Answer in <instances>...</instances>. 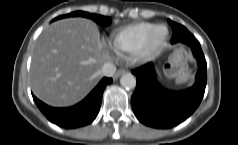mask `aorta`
Wrapping results in <instances>:
<instances>
[{
  "label": "aorta",
  "instance_id": "obj_1",
  "mask_svg": "<svg viewBox=\"0 0 238 145\" xmlns=\"http://www.w3.org/2000/svg\"><path fill=\"white\" fill-rule=\"evenodd\" d=\"M120 84L127 89H133L136 87V78L131 73H125L120 78Z\"/></svg>",
  "mask_w": 238,
  "mask_h": 145
}]
</instances>
